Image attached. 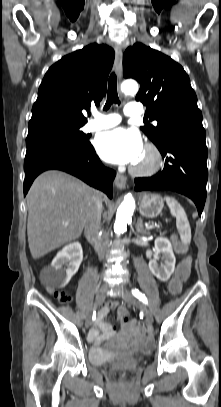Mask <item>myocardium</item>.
Returning <instances> with one entry per match:
<instances>
[{"mask_svg":"<svg viewBox=\"0 0 221 407\" xmlns=\"http://www.w3.org/2000/svg\"><path fill=\"white\" fill-rule=\"evenodd\" d=\"M144 150L150 154L152 159L151 163L147 167H137L135 165L132 166L130 172L135 176L148 177L155 175L163 166V156L156 145L147 143L144 146Z\"/></svg>","mask_w":221,"mask_h":407,"instance_id":"obj_1","label":"myocardium"}]
</instances>
